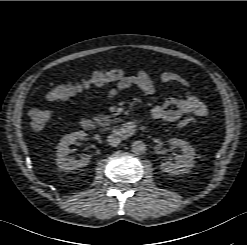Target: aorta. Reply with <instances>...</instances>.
I'll return each instance as SVG.
<instances>
[{
    "mask_svg": "<svg viewBox=\"0 0 247 245\" xmlns=\"http://www.w3.org/2000/svg\"><path fill=\"white\" fill-rule=\"evenodd\" d=\"M131 149H132V152L137 154V155H140V154H143L145 153L146 151V145L143 141L141 140H137V141H134L132 146H131Z\"/></svg>",
    "mask_w": 247,
    "mask_h": 245,
    "instance_id": "obj_1",
    "label": "aorta"
}]
</instances>
